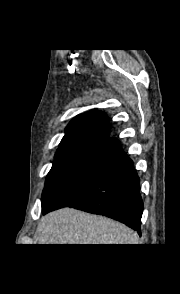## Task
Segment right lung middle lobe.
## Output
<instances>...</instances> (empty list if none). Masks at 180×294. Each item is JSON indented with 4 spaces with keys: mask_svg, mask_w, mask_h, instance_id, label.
Masks as SVG:
<instances>
[{
    "mask_svg": "<svg viewBox=\"0 0 180 294\" xmlns=\"http://www.w3.org/2000/svg\"><path fill=\"white\" fill-rule=\"evenodd\" d=\"M100 144L79 142L60 145L55 162L49 171L42 193V208L72 180L85 161L93 154Z\"/></svg>",
    "mask_w": 180,
    "mask_h": 294,
    "instance_id": "obj_1",
    "label": "right lung middle lobe"
}]
</instances>
